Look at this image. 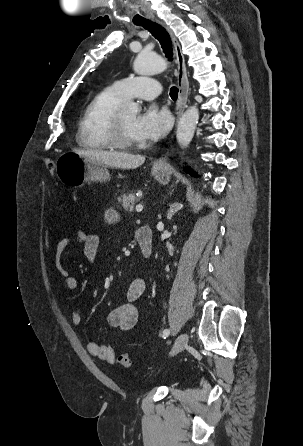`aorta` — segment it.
<instances>
[{
	"instance_id": "762f6f07",
	"label": "aorta",
	"mask_w": 303,
	"mask_h": 446,
	"mask_svg": "<svg viewBox=\"0 0 303 446\" xmlns=\"http://www.w3.org/2000/svg\"><path fill=\"white\" fill-rule=\"evenodd\" d=\"M133 69L139 75H153L163 72L166 69V62L159 56L141 52L136 57ZM140 107L136 103H130L125 109L129 115H136ZM199 120V110L196 105L189 107L181 116L177 131V142L182 147H187L191 142Z\"/></svg>"
}]
</instances>
